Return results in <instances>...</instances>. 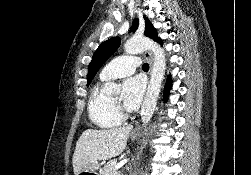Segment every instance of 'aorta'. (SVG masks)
I'll use <instances>...</instances> for the list:
<instances>
[{"label":"aorta","mask_w":251,"mask_h":175,"mask_svg":"<svg viewBox=\"0 0 251 175\" xmlns=\"http://www.w3.org/2000/svg\"><path fill=\"white\" fill-rule=\"evenodd\" d=\"M124 50L126 54H139V52H146V50H151L153 54L154 60L151 68V78L140 113L142 123L146 125L154 113L162 86V80L165 76L166 60L164 50L160 48L159 44H156L153 40H149V38H131V40H127L126 44H124ZM104 89L111 93V91L119 88L117 84L107 82Z\"/></svg>","instance_id":"obj_1"}]
</instances>
